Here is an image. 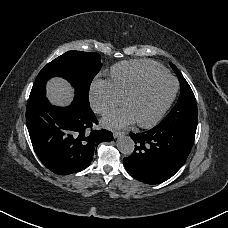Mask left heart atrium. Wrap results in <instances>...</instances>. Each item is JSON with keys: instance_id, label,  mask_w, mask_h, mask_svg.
<instances>
[{"instance_id": "1", "label": "left heart atrium", "mask_w": 228, "mask_h": 228, "mask_svg": "<svg viewBox=\"0 0 228 228\" xmlns=\"http://www.w3.org/2000/svg\"><path fill=\"white\" fill-rule=\"evenodd\" d=\"M134 120H135V117L130 111V109L124 108L121 110L111 112L109 116L108 124L115 127H121L133 122Z\"/></svg>"}]
</instances>
